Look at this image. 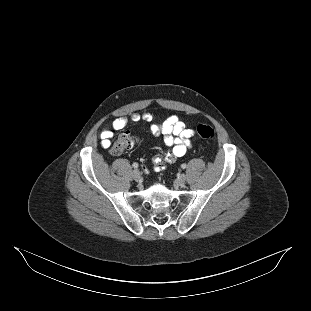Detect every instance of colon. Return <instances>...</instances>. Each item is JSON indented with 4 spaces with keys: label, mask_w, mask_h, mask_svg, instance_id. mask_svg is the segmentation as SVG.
Returning a JSON list of instances; mask_svg holds the SVG:
<instances>
[{
    "label": "colon",
    "mask_w": 311,
    "mask_h": 311,
    "mask_svg": "<svg viewBox=\"0 0 311 311\" xmlns=\"http://www.w3.org/2000/svg\"><path fill=\"white\" fill-rule=\"evenodd\" d=\"M197 134L202 139L210 140L214 137L215 130L209 125H199L197 127ZM136 141V137L131 132H124L120 134L116 141L112 144L110 147V153L114 156L120 155L132 148Z\"/></svg>",
    "instance_id": "colon-1"
}]
</instances>
